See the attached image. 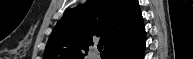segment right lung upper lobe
Here are the masks:
<instances>
[{"mask_svg": "<svg viewBox=\"0 0 193 59\" xmlns=\"http://www.w3.org/2000/svg\"><path fill=\"white\" fill-rule=\"evenodd\" d=\"M144 29L138 0H87L57 22L44 59H83L96 37L104 45V58Z\"/></svg>", "mask_w": 193, "mask_h": 59, "instance_id": "obj_1", "label": "right lung upper lobe"}]
</instances>
